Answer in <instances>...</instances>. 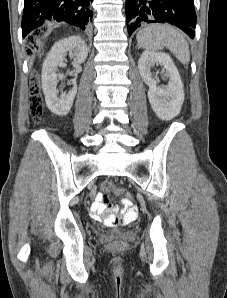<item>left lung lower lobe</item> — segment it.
Here are the masks:
<instances>
[{
    "label": "left lung lower lobe",
    "mask_w": 227,
    "mask_h": 298,
    "mask_svg": "<svg viewBox=\"0 0 227 298\" xmlns=\"http://www.w3.org/2000/svg\"><path fill=\"white\" fill-rule=\"evenodd\" d=\"M125 9L129 35L142 23L168 22L194 38L193 0H126Z\"/></svg>",
    "instance_id": "left-lung-lower-lobe-1"
}]
</instances>
